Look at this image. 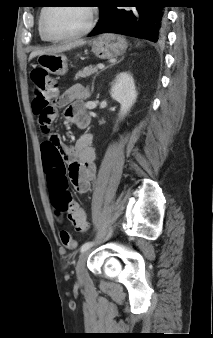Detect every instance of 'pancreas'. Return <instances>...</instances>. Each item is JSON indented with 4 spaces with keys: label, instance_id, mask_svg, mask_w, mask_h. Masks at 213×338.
I'll use <instances>...</instances> for the list:
<instances>
[{
    "label": "pancreas",
    "instance_id": "obj_1",
    "mask_svg": "<svg viewBox=\"0 0 213 338\" xmlns=\"http://www.w3.org/2000/svg\"><path fill=\"white\" fill-rule=\"evenodd\" d=\"M94 73H97V69L96 67H85L83 70L79 71L76 75H75V79L77 80L78 78H86Z\"/></svg>",
    "mask_w": 213,
    "mask_h": 338
}]
</instances>
